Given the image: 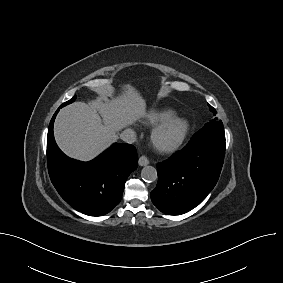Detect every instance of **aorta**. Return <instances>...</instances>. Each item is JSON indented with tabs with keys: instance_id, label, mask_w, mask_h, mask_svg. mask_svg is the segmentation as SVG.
<instances>
[{
	"instance_id": "aorta-1",
	"label": "aorta",
	"mask_w": 283,
	"mask_h": 283,
	"mask_svg": "<svg viewBox=\"0 0 283 283\" xmlns=\"http://www.w3.org/2000/svg\"><path fill=\"white\" fill-rule=\"evenodd\" d=\"M141 178L146 182H153L157 179V170L153 166H145L141 170Z\"/></svg>"
}]
</instances>
